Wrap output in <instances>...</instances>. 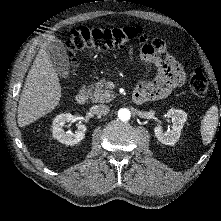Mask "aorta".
<instances>
[{
    "label": "aorta",
    "mask_w": 221,
    "mask_h": 221,
    "mask_svg": "<svg viewBox=\"0 0 221 221\" xmlns=\"http://www.w3.org/2000/svg\"><path fill=\"white\" fill-rule=\"evenodd\" d=\"M131 117V113L128 109L122 108L118 111V118L121 121H128Z\"/></svg>",
    "instance_id": "762f6f07"
}]
</instances>
